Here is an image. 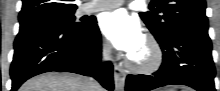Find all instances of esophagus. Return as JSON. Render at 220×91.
Masks as SVG:
<instances>
[{"label":"esophagus","mask_w":220,"mask_h":91,"mask_svg":"<svg viewBox=\"0 0 220 91\" xmlns=\"http://www.w3.org/2000/svg\"><path fill=\"white\" fill-rule=\"evenodd\" d=\"M126 80V73L124 69L118 65L117 63L114 64V82L115 88L117 90H123Z\"/></svg>","instance_id":"obj_1"}]
</instances>
